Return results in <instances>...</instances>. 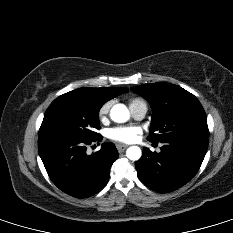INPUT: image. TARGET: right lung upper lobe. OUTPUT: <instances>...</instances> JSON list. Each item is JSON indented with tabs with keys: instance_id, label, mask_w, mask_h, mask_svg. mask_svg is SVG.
Masks as SVG:
<instances>
[{
	"instance_id": "obj_1",
	"label": "right lung upper lobe",
	"mask_w": 233,
	"mask_h": 233,
	"mask_svg": "<svg viewBox=\"0 0 233 233\" xmlns=\"http://www.w3.org/2000/svg\"><path fill=\"white\" fill-rule=\"evenodd\" d=\"M129 90L124 87L117 88H89L84 87L80 89L73 90L71 92L78 94L94 103L104 104L108 100L122 94L128 92Z\"/></svg>"
}]
</instances>
